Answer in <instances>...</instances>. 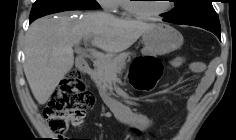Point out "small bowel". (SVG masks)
<instances>
[{
	"label": "small bowel",
	"instance_id": "obj_1",
	"mask_svg": "<svg viewBox=\"0 0 236 140\" xmlns=\"http://www.w3.org/2000/svg\"><path fill=\"white\" fill-rule=\"evenodd\" d=\"M186 59L182 56L173 58L170 61L172 67H180L185 63ZM190 70L194 73H203V75L198 79L196 86L191 91L187 98L186 110L188 115L193 114L202 96L208 90L210 85L214 80V72L210 69H206L203 62L194 61L189 64ZM129 121L134 122L140 129H148L153 125L151 119L146 116L136 115L129 119Z\"/></svg>",
	"mask_w": 236,
	"mask_h": 140
}]
</instances>
